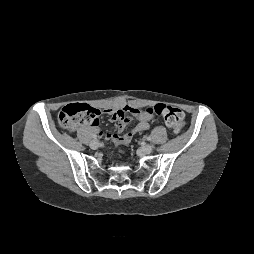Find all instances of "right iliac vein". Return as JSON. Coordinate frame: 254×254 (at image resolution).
<instances>
[{"instance_id":"right-iliac-vein-1","label":"right iliac vein","mask_w":254,"mask_h":254,"mask_svg":"<svg viewBox=\"0 0 254 254\" xmlns=\"http://www.w3.org/2000/svg\"><path fill=\"white\" fill-rule=\"evenodd\" d=\"M99 145H100V143H99L98 140H93V141H91V143H90V147H91L92 149L98 148Z\"/></svg>"}]
</instances>
